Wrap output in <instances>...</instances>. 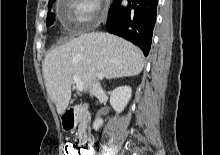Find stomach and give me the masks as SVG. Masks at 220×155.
<instances>
[{"label":"stomach","mask_w":220,"mask_h":155,"mask_svg":"<svg viewBox=\"0 0 220 155\" xmlns=\"http://www.w3.org/2000/svg\"><path fill=\"white\" fill-rule=\"evenodd\" d=\"M63 128H64L65 130H72L73 126H64V125H63Z\"/></svg>","instance_id":"stomach-1"}]
</instances>
